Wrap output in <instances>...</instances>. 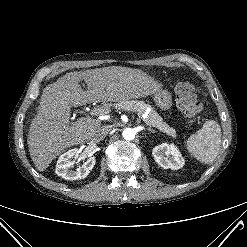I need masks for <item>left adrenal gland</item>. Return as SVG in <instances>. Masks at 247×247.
Masks as SVG:
<instances>
[{"label":"left adrenal gland","mask_w":247,"mask_h":247,"mask_svg":"<svg viewBox=\"0 0 247 247\" xmlns=\"http://www.w3.org/2000/svg\"><path fill=\"white\" fill-rule=\"evenodd\" d=\"M148 131H149L150 133H156V131L153 130V129H149Z\"/></svg>","instance_id":"1"}]
</instances>
